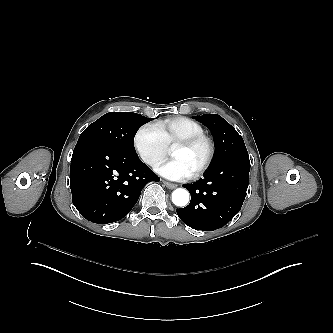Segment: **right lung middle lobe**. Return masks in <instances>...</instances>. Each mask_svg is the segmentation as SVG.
Masks as SVG:
<instances>
[{"label": "right lung middle lobe", "mask_w": 333, "mask_h": 333, "mask_svg": "<svg viewBox=\"0 0 333 333\" xmlns=\"http://www.w3.org/2000/svg\"><path fill=\"white\" fill-rule=\"evenodd\" d=\"M153 120L137 113H107L90 124L79 137L97 139L117 149L123 154L137 156L134 148V136L145 123Z\"/></svg>", "instance_id": "dd1d6c3e"}]
</instances>
